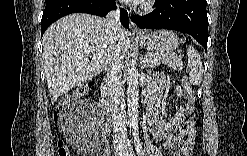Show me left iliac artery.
<instances>
[{"mask_svg":"<svg viewBox=\"0 0 247 156\" xmlns=\"http://www.w3.org/2000/svg\"><path fill=\"white\" fill-rule=\"evenodd\" d=\"M135 132H136V129H135ZM134 142H135L137 154L139 156H142L143 152H142V147H141V143H140L139 138H135Z\"/></svg>","mask_w":247,"mask_h":156,"instance_id":"44dca946","label":"left iliac artery"}]
</instances>
